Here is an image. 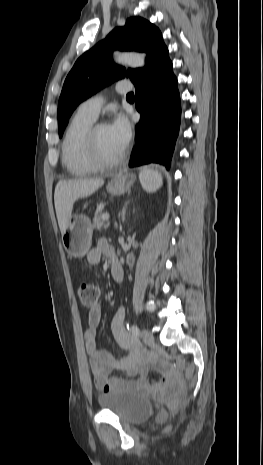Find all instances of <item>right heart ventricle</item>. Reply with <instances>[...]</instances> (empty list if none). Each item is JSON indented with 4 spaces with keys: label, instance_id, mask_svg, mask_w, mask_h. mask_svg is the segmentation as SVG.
<instances>
[{
    "label": "right heart ventricle",
    "instance_id": "right-heart-ventricle-1",
    "mask_svg": "<svg viewBox=\"0 0 263 465\" xmlns=\"http://www.w3.org/2000/svg\"><path fill=\"white\" fill-rule=\"evenodd\" d=\"M94 121L78 111L65 131L61 158L67 171L74 176H86L98 170L88 160L84 147L85 134Z\"/></svg>",
    "mask_w": 263,
    "mask_h": 465
}]
</instances>
